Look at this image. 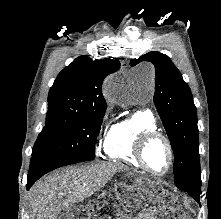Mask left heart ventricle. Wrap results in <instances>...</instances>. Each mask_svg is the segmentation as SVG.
<instances>
[{"label": "left heart ventricle", "mask_w": 221, "mask_h": 219, "mask_svg": "<svg viewBox=\"0 0 221 219\" xmlns=\"http://www.w3.org/2000/svg\"><path fill=\"white\" fill-rule=\"evenodd\" d=\"M145 159L154 171L165 172L169 165V155L164 142L160 139L152 141L145 150Z\"/></svg>", "instance_id": "left-heart-ventricle-1"}]
</instances>
